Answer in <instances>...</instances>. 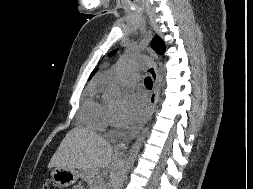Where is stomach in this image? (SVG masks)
Instances as JSON below:
<instances>
[{"instance_id": "1", "label": "stomach", "mask_w": 253, "mask_h": 189, "mask_svg": "<svg viewBox=\"0 0 253 189\" xmlns=\"http://www.w3.org/2000/svg\"><path fill=\"white\" fill-rule=\"evenodd\" d=\"M55 183L62 187L73 185L79 178L80 174L75 169L56 167L51 173Z\"/></svg>"}]
</instances>
